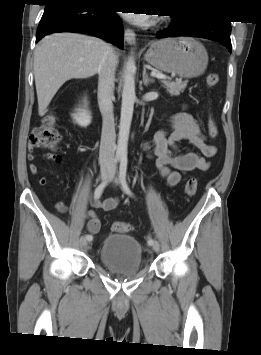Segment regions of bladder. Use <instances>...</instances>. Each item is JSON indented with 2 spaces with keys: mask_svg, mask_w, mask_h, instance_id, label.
<instances>
[{
  "mask_svg": "<svg viewBox=\"0 0 261 355\" xmlns=\"http://www.w3.org/2000/svg\"><path fill=\"white\" fill-rule=\"evenodd\" d=\"M99 256L109 271L121 277H133L142 269V246L130 235H107Z\"/></svg>",
  "mask_w": 261,
  "mask_h": 355,
  "instance_id": "bladder-1",
  "label": "bladder"
}]
</instances>
